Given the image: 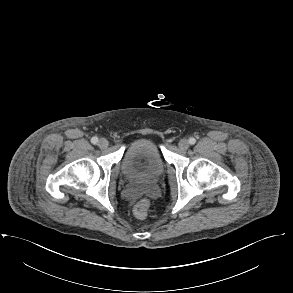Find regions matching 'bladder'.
I'll list each match as a JSON object with an SVG mask.
<instances>
[{
  "instance_id": "obj_1",
  "label": "bladder",
  "mask_w": 293,
  "mask_h": 293,
  "mask_svg": "<svg viewBox=\"0 0 293 293\" xmlns=\"http://www.w3.org/2000/svg\"><path fill=\"white\" fill-rule=\"evenodd\" d=\"M121 171L127 180L151 189L163 177L165 164L154 143L140 141L125 150Z\"/></svg>"
}]
</instances>
